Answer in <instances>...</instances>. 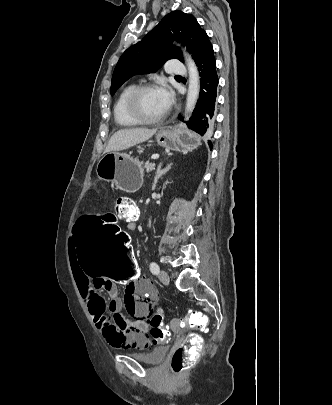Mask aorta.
<instances>
[{"label": "aorta", "mask_w": 332, "mask_h": 405, "mask_svg": "<svg viewBox=\"0 0 332 405\" xmlns=\"http://www.w3.org/2000/svg\"><path fill=\"white\" fill-rule=\"evenodd\" d=\"M187 68L189 71V87L186 98L185 116L191 114L197 103L200 91V76L195 62L192 57L184 51Z\"/></svg>", "instance_id": "obj_1"}]
</instances>
